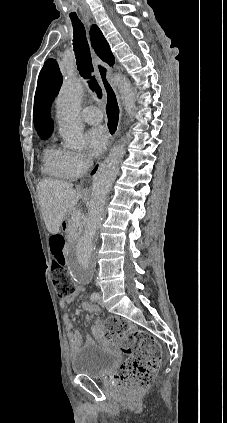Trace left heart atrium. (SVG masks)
I'll return each instance as SVG.
<instances>
[{"mask_svg": "<svg viewBox=\"0 0 227 423\" xmlns=\"http://www.w3.org/2000/svg\"><path fill=\"white\" fill-rule=\"evenodd\" d=\"M87 142L90 152L94 156L103 153L109 142V135L105 128L95 127L88 131Z\"/></svg>", "mask_w": 227, "mask_h": 423, "instance_id": "left-heart-atrium-1", "label": "left heart atrium"}]
</instances>
